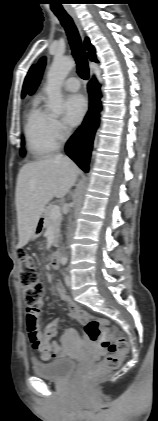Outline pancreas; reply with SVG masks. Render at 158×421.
Here are the masks:
<instances>
[{"label": "pancreas", "instance_id": "obj_1", "mask_svg": "<svg viewBox=\"0 0 158 421\" xmlns=\"http://www.w3.org/2000/svg\"><path fill=\"white\" fill-rule=\"evenodd\" d=\"M53 204H49L44 210V227L48 228L52 226L53 233H54V246L57 245L59 235H60V224L62 217L52 218L51 217V209L53 208Z\"/></svg>", "mask_w": 158, "mask_h": 421}]
</instances>
